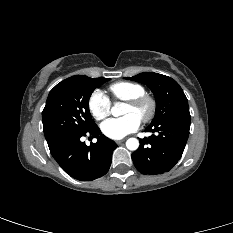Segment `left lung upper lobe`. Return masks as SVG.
Here are the masks:
<instances>
[{"instance_id": "1", "label": "left lung upper lobe", "mask_w": 233, "mask_h": 233, "mask_svg": "<svg viewBox=\"0 0 233 233\" xmlns=\"http://www.w3.org/2000/svg\"><path fill=\"white\" fill-rule=\"evenodd\" d=\"M125 79L143 83L153 92L156 99V113L150 125L170 115L189 110L188 100L182 88L171 77L154 72H144Z\"/></svg>"}]
</instances>
